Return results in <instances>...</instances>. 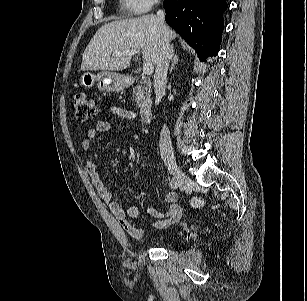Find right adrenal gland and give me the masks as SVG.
Wrapping results in <instances>:
<instances>
[{
	"label": "right adrenal gland",
	"mask_w": 307,
	"mask_h": 301,
	"mask_svg": "<svg viewBox=\"0 0 307 301\" xmlns=\"http://www.w3.org/2000/svg\"><path fill=\"white\" fill-rule=\"evenodd\" d=\"M171 54H172V60H171L170 72L173 70L174 65L179 61L178 56L174 53L173 45L171 46Z\"/></svg>",
	"instance_id": "1"
}]
</instances>
